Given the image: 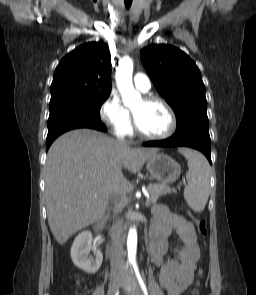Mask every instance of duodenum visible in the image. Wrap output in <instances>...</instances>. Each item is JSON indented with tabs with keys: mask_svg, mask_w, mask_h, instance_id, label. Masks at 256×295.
<instances>
[{
	"mask_svg": "<svg viewBox=\"0 0 256 295\" xmlns=\"http://www.w3.org/2000/svg\"><path fill=\"white\" fill-rule=\"evenodd\" d=\"M99 227H100L99 225H98V226H96V227H95V230H98V229H99Z\"/></svg>",
	"mask_w": 256,
	"mask_h": 295,
	"instance_id": "duodenum-1",
	"label": "duodenum"
}]
</instances>
